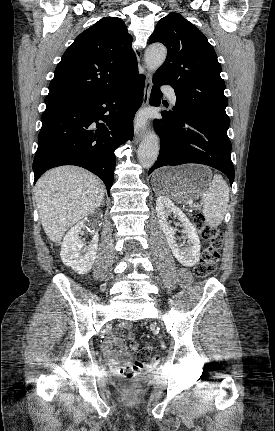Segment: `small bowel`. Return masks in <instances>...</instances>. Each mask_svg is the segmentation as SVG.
I'll return each mask as SVG.
<instances>
[{
    "instance_id": "small-bowel-1",
    "label": "small bowel",
    "mask_w": 275,
    "mask_h": 431,
    "mask_svg": "<svg viewBox=\"0 0 275 431\" xmlns=\"http://www.w3.org/2000/svg\"><path fill=\"white\" fill-rule=\"evenodd\" d=\"M179 279L182 285H189L192 282L191 274L187 270H181L179 272ZM129 328V323H121L116 327L114 334L109 337L104 344V353L113 366H119L121 364V360L119 359L118 353L114 349V346H117L120 354L125 358V360L130 359V354L122 339L123 332Z\"/></svg>"
}]
</instances>
